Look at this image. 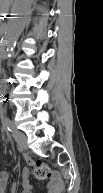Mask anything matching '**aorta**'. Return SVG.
Instances as JSON below:
<instances>
[{
	"label": "aorta",
	"instance_id": "1",
	"mask_svg": "<svg viewBox=\"0 0 103 193\" xmlns=\"http://www.w3.org/2000/svg\"><path fill=\"white\" fill-rule=\"evenodd\" d=\"M33 0H15L12 15L8 21L3 42L8 52L12 51L22 33Z\"/></svg>",
	"mask_w": 103,
	"mask_h": 193
}]
</instances>
